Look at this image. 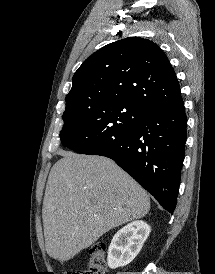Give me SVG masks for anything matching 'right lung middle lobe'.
Returning <instances> with one entry per match:
<instances>
[{
    "label": "right lung middle lobe",
    "instance_id": "dd1d6c3e",
    "mask_svg": "<svg viewBox=\"0 0 215 274\" xmlns=\"http://www.w3.org/2000/svg\"><path fill=\"white\" fill-rule=\"evenodd\" d=\"M145 112L132 103L121 101L66 102L60 133L62 144L87 154L130 132Z\"/></svg>",
    "mask_w": 215,
    "mask_h": 274
}]
</instances>
